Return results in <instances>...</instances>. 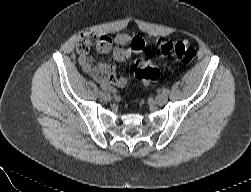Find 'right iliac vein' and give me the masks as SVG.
Returning a JSON list of instances; mask_svg holds the SVG:
<instances>
[{"label": "right iliac vein", "mask_w": 251, "mask_h": 192, "mask_svg": "<svg viewBox=\"0 0 251 192\" xmlns=\"http://www.w3.org/2000/svg\"><path fill=\"white\" fill-rule=\"evenodd\" d=\"M103 99L106 101H110L112 99V96L109 93H105Z\"/></svg>", "instance_id": "1"}]
</instances>
